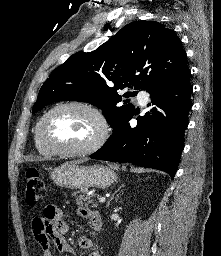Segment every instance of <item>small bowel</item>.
<instances>
[{
  "label": "small bowel",
  "mask_w": 221,
  "mask_h": 256,
  "mask_svg": "<svg viewBox=\"0 0 221 256\" xmlns=\"http://www.w3.org/2000/svg\"><path fill=\"white\" fill-rule=\"evenodd\" d=\"M77 214L87 219L92 229H100L101 217L96 210L82 207L77 209ZM68 230L69 225L64 218L63 211L53 205L46 206L42 214L32 220V232L34 239L41 247L42 256H53L51 244H54L61 253L75 255L74 249L65 239ZM78 243L82 249L91 250L88 256H101L97 249L92 248L93 242L89 237L81 236Z\"/></svg>",
  "instance_id": "obj_1"
}]
</instances>
